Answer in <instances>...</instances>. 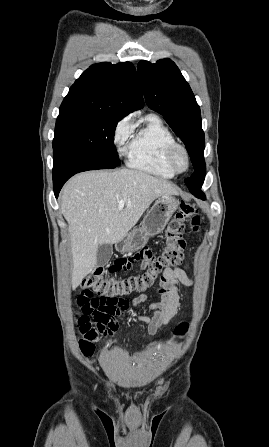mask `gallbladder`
I'll return each mask as SVG.
<instances>
[{
    "label": "gallbladder",
    "instance_id": "gallbladder-1",
    "mask_svg": "<svg viewBox=\"0 0 269 447\" xmlns=\"http://www.w3.org/2000/svg\"><path fill=\"white\" fill-rule=\"evenodd\" d=\"M112 253H113L112 245H108V243H102V245H99L97 251V265H106Z\"/></svg>",
    "mask_w": 269,
    "mask_h": 447
}]
</instances>
